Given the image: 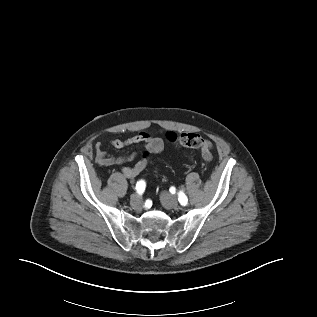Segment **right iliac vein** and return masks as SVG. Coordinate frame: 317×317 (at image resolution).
<instances>
[{
	"mask_svg": "<svg viewBox=\"0 0 317 317\" xmlns=\"http://www.w3.org/2000/svg\"><path fill=\"white\" fill-rule=\"evenodd\" d=\"M130 199L132 204H140L142 201L141 196L137 193L132 194Z\"/></svg>",
	"mask_w": 317,
	"mask_h": 317,
	"instance_id": "right-iliac-vein-1",
	"label": "right iliac vein"
}]
</instances>
